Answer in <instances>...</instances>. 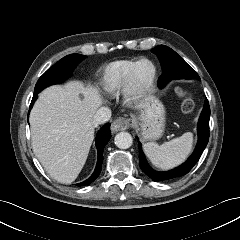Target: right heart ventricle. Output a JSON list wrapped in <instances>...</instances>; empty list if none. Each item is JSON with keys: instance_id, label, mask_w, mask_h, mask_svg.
I'll return each instance as SVG.
<instances>
[{"instance_id": "1", "label": "right heart ventricle", "mask_w": 240, "mask_h": 240, "mask_svg": "<svg viewBox=\"0 0 240 240\" xmlns=\"http://www.w3.org/2000/svg\"><path fill=\"white\" fill-rule=\"evenodd\" d=\"M135 62L134 59H124L108 64L104 68L100 79L103 90L110 95L123 92L126 75Z\"/></svg>"}]
</instances>
